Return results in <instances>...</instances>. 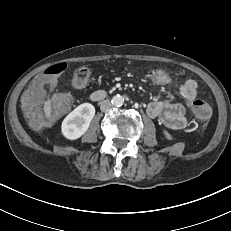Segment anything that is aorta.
I'll return each instance as SVG.
<instances>
[{"instance_id": "762f6f07", "label": "aorta", "mask_w": 231, "mask_h": 231, "mask_svg": "<svg viewBox=\"0 0 231 231\" xmlns=\"http://www.w3.org/2000/svg\"><path fill=\"white\" fill-rule=\"evenodd\" d=\"M111 103L115 107H121L124 104V98L123 96L117 94L112 97Z\"/></svg>"}]
</instances>
